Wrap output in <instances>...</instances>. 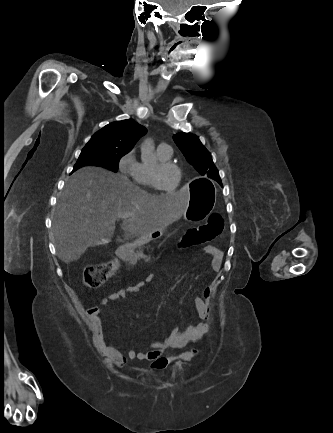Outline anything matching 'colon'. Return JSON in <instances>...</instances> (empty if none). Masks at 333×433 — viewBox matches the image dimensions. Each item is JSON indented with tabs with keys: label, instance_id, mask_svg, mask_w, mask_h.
<instances>
[{
	"label": "colon",
	"instance_id": "colon-1",
	"mask_svg": "<svg viewBox=\"0 0 333 433\" xmlns=\"http://www.w3.org/2000/svg\"><path fill=\"white\" fill-rule=\"evenodd\" d=\"M224 220L219 213H212L206 222L190 228L182 237L179 245L181 248L201 246L216 239L223 231ZM118 263L109 261L106 263L89 266L84 270V284L89 288L101 286L117 269ZM197 350L192 349L188 352L172 357H162L155 361L151 366L156 370H163L178 361H190L197 356Z\"/></svg>",
	"mask_w": 333,
	"mask_h": 433
}]
</instances>
